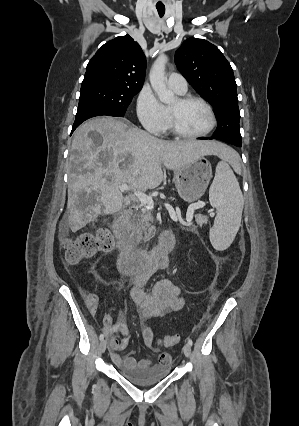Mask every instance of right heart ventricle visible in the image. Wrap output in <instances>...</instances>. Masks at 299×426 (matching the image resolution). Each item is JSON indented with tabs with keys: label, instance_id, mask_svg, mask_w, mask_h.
<instances>
[{
	"label": "right heart ventricle",
	"instance_id": "right-heart-ventricle-1",
	"mask_svg": "<svg viewBox=\"0 0 299 426\" xmlns=\"http://www.w3.org/2000/svg\"><path fill=\"white\" fill-rule=\"evenodd\" d=\"M175 92L180 94V95L184 94V93H180V92H177V91H175ZM165 112H166V115H167V126H166V128H168L170 126L168 109L165 108Z\"/></svg>",
	"mask_w": 299,
	"mask_h": 426
}]
</instances>
